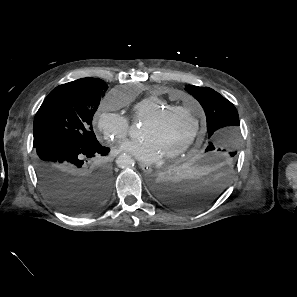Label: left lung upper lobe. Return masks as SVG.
I'll use <instances>...</instances> for the list:
<instances>
[{
    "mask_svg": "<svg viewBox=\"0 0 297 297\" xmlns=\"http://www.w3.org/2000/svg\"><path fill=\"white\" fill-rule=\"evenodd\" d=\"M185 89L200 102L206 114L209 143L205 152H220L235 160L239 145V116L234 105L208 87L188 85Z\"/></svg>",
    "mask_w": 297,
    "mask_h": 297,
    "instance_id": "5c2ea615",
    "label": "left lung upper lobe"
}]
</instances>
